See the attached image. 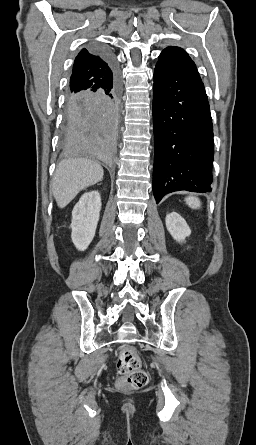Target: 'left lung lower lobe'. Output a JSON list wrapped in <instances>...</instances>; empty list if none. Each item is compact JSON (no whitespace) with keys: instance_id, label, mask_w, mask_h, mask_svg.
<instances>
[{"instance_id":"obj_1","label":"left lung lower lobe","mask_w":256,"mask_h":445,"mask_svg":"<svg viewBox=\"0 0 256 445\" xmlns=\"http://www.w3.org/2000/svg\"><path fill=\"white\" fill-rule=\"evenodd\" d=\"M156 202L170 192L211 191L213 126L201 79L157 63L153 86Z\"/></svg>"}]
</instances>
